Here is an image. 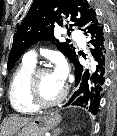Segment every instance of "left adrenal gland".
Masks as SVG:
<instances>
[{
	"mask_svg": "<svg viewBox=\"0 0 117 136\" xmlns=\"http://www.w3.org/2000/svg\"><path fill=\"white\" fill-rule=\"evenodd\" d=\"M62 132V130L60 128H56L54 131H53V136H59V134Z\"/></svg>",
	"mask_w": 117,
	"mask_h": 136,
	"instance_id": "1",
	"label": "left adrenal gland"
}]
</instances>
